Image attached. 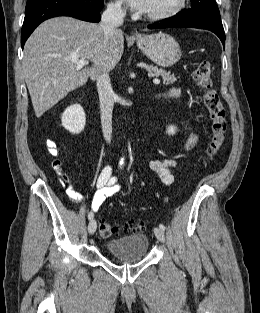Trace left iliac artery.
<instances>
[{
  "mask_svg": "<svg viewBox=\"0 0 260 313\" xmlns=\"http://www.w3.org/2000/svg\"><path fill=\"white\" fill-rule=\"evenodd\" d=\"M159 228H161L162 230H165V226L163 224H159Z\"/></svg>",
  "mask_w": 260,
  "mask_h": 313,
  "instance_id": "1",
  "label": "left iliac artery"
}]
</instances>
